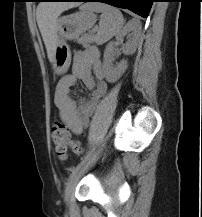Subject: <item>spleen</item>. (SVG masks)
<instances>
[{"mask_svg":"<svg viewBox=\"0 0 202 217\" xmlns=\"http://www.w3.org/2000/svg\"><path fill=\"white\" fill-rule=\"evenodd\" d=\"M82 8L101 13L99 30L96 35L97 44H103L121 32L124 19L119 9L103 3H89Z\"/></svg>","mask_w":202,"mask_h":217,"instance_id":"obj_1","label":"spleen"}]
</instances>
